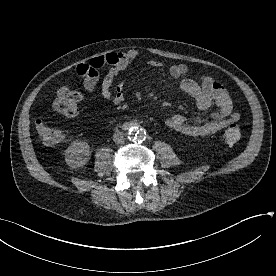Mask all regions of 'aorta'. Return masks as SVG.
Segmentation results:
<instances>
[{
	"label": "aorta",
	"mask_w": 276,
	"mask_h": 276,
	"mask_svg": "<svg viewBox=\"0 0 276 276\" xmlns=\"http://www.w3.org/2000/svg\"><path fill=\"white\" fill-rule=\"evenodd\" d=\"M128 135L132 140L142 142L146 138V131L141 127L131 126L128 129Z\"/></svg>",
	"instance_id": "762f6f07"
}]
</instances>
